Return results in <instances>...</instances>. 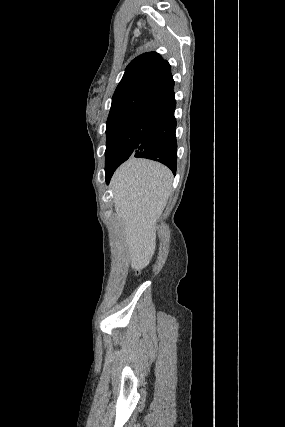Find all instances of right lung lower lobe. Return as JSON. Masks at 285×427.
I'll use <instances>...</instances> for the list:
<instances>
[{"label":"right lung lower lobe","instance_id":"right-lung-lower-lobe-1","mask_svg":"<svg viewBox=\"0 0 285 427\" xmlns=\"http://www.w3.org/2000/svg\"><path fill=\"white\" fill-rule=\"evenodd\" d=\"M174 94L146 111L139 139L140 145L133 156L158 161L176 173L177 141ZM116 170V169H115ZM115 170L105 171L106 182Z\"/></svg>","mask_w":285,"mask_h":427}]
</instances>
